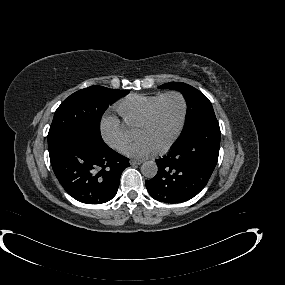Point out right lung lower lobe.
<instances>
[{
	"instance_id": "obj_1",
	"label": "right lung lower lobe",
	"mask_w": 285,
	"mask_h": 285,
	"mask_svg": "<svg viewBox=\"0 0 285 285\" xmlns=\"http://www.w3.org/2000/svg\"><path fill=\"white\" fill-rule=\"evenodd\" d=\"M49 149L53 171L60 184L77 201L101 204L117 193L120 176L129 159L79 135L66 136Z\"/></svg>"
}]
</instances>
